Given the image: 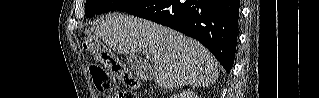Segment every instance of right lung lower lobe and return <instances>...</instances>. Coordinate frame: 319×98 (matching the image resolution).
I'll return each mask as SVG.
<instances>
[{
    "label": "right lung lower lobe",
    "mask_w": 319,
    "mask_h": 98,
    "mask_svg": "<svg viewBox=\"0 0 319 98\" xmlns=\"http://www.w3.org/2000/svg\"><path fill=\"white\" fill-rule=\"evenodd\" d=\"M239 6V0H149L126 12L195 38L229 72L237 44Z\"/></svg>",
    "instance_id": "98d812e1"
}]
</instances>
